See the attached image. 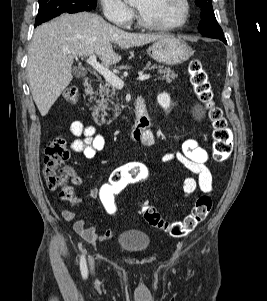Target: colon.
<instances>
[{"instance_id": "5ec220e1", "label": "colon", "mask_w": 267, "mask_h": 301, "mask_svg": "<svg viewBox=\"0 0 267 301\" xmlns=\"http://www.w3.org/2000/svg\"><path fill=\"white\" fill-rule=\"evenodd\" d=\"M190 81L197 98L207 107L212 122V154L213 158L222 162L233 149V134L223 116L222 110L213 104V94L208 74L199 60H192L188 67ZM63 98L69 103H76L79 91L75 86L67 87ZM69 150L62 137L51 140L44 155V176L49 189L59 191L63 200H70L73 189L69 185L70 172L64 167L69 159ZM149 168L140 162H129L117 167L109 180L98 188L97 200L103 211L111 217L120 216L119 201L121 196L133 185L149 180ZM212 208V200L208 195L197 198L191 212L180 221L169 222L163 219L158 210L149 204L142 206L141 212L151 226L168 232L173 237H183L192 232L206 219Z\"/></svg>"}]
</instances>
